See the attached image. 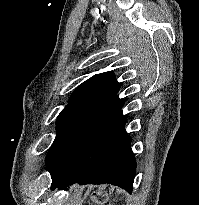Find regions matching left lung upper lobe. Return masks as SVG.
Here are the masks:
<instances>
[{"mask_svg": "<svg viewBox=\"0 0 199 205\" xmlns=\"http://www.w3.org/2000/svg\"><path fill=\"white\" fill-rule=\"evenodd\" d=\"M114 73L89 78L72 93L56 120V137L46 156L52 180L63 177L72 166L93 130L123 101Z\"/></svg>", "mask_w": 199, "mask_h": 205, "instance_id": "left-lung-upper-lobe-1", "label": "left lung upper lobe"}]
</instances>
